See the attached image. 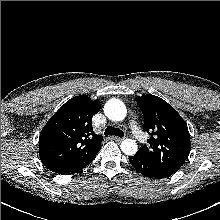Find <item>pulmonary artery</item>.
Here are the masks:
<instances>
[{
    "instance_id": "e3ab8cb5",
    "label": "pulmonary artery",
    "mask_w": 220,
    "mask_h": 220,
    "mask_svg": "<svg viewBox=\"0 0 220 220\" xmlns=\"http://www.w3.org/2000/svg\"><path fill=\"white\" fill-rule=\"evenodd\" d=\"M130 125H131V130H132L133 134L135 135V137L140 141H144L145 137L142 134L139 127L137 126L136 122L134 120H132Z\"/></svg>"
}]
</instances>
